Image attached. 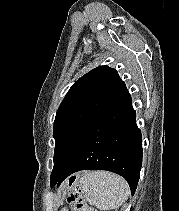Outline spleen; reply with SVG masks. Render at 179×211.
Returning <instances> with one entry per match:
<instances>
[{"instance_id": "obj_1", "label": "spleen", "mask_w": 179, "mask_h": 211, "mask_svg": "<svg viewBox=\"0 0 179 211\" xmlns=\"http://www.w3.org/2000/svg\"><path fill=\"white\" fill-rule=\"evenodd\" d=\"M80 185L87 202L102 211L117 209L130 194L124 178L106 171L85 172L80 178Z\"/></svg>"}]
</instances>
